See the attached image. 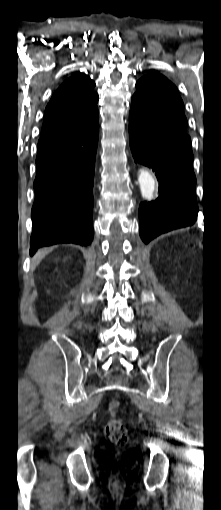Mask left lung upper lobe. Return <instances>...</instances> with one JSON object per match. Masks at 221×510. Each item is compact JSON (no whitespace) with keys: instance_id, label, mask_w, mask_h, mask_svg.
<instances>
[{"instance_id":"obj_1","label":"left lung upper lobe","mask_w":221,"mask_h":510,"mask_svg":"<svg viewBox=\"0 0 221 510\" xmlns=\"http://www.w3.org/2000/svg\"><path fill=\"white\" fill-rule=\"evenodd\" d=\"M132 107L165 135L191 147L186 133L187 119L176 86L156 71H149L136 83Z\"/></svg>"}]
</instances>
